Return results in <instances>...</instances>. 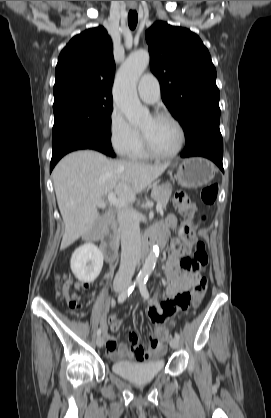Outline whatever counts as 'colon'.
Instances as JSON below:
<instances>
[{
  "label": "colon",
  "instance_id": "1",
  "mask_svg": "<svg viewBox=\"0 0 271 418\" xmlns=\"http://www.w3.org/2000/svg\"><path fill=\"white\" fill-rule=\"evenodd\" d=\"M201 200L206 205H213L218 196V186L216 184H209L201 190ZM174 205L181 215L186 218H191L195 211L196 206L191 201L187 193L179 191L174 197ZM205 217L202 216L201 220ZM183 234L187 239L192 237V228L188 224H184L181 228ZM208 263V255L205 250L203 242L199 241L195 245V251L193 257H183L180 262V266L183 271L191 273L196 278L195 297L198 301L205 293L207 281L206 278L201 276V272L205 269ZM71 281L68 278H61L59 280L58 295L61 299L65 300L69 307L73 310H79L81 303L77 297L70 290ZM183 304H186V300H182Z\"/></svg>",
  "mask_w": 271,
  "mask_h": 418
}]
</instances>
